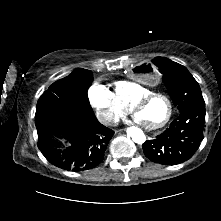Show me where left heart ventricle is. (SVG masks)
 Returning a JSON list of instances; mask_svg holds the SVG:
<instances>
[{
    "instance_id": "obj_1",
    "label": "left heart ventricle",
    "mask_w": 221,
    "mask_h": 221,
    "mask_svg": "<svg viewBox=\"0 0 221 221\" xmlns=\"http://www.w3.org/2000/svg\"><path fill=\"white\" fill-rule=\"evenodd\" d=\"M168 103L160 97L151 99L137 113L138 119L148 125L161 122L168 113Z\"/></svg>"
}]
</instances>
